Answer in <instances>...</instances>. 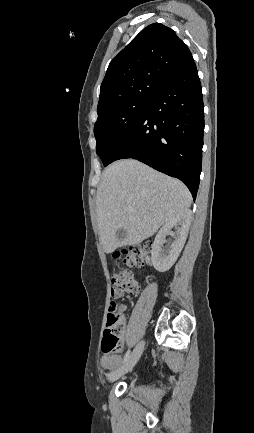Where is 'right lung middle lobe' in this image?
<instances>
[{
    "instance_id": "right-lung-middle-lobe-1",
    "label": "right lung middle lobe",
    "mask_w": 254,
    "mask_h": 433,
    "mask_svg": "<svg viewBox=\"0 0 254 433\" xmlns=\"http://www.w3.org/2000/svg\"><path fill=\"white\" fill-rule=\"evenodd\" d=\"M151 99H129L98 110L94 125L96 153L104 166L110 164L114 151L141 117Z\"/></svg>"
}]
</instances>
